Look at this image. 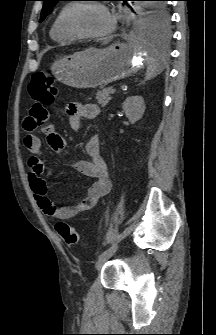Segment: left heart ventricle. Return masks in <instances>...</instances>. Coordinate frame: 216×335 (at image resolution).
<instances>
[{
	"label": "left heart ventricle",
	"instance_id": "1",
	"mask_svg": "<svg viewBox=\"0 0 216 335\" xmlns=\"http://www.w3.org/2000/svg\"><path fill=\"white\" fill-rule=\"evenodd\" d=\"M72 25L81 32L99 33L109 28L110 18L100 7L85 5L73 13Z\"/></svg>",
	"mask_w": 216,
	"mask_h": 335
}]
</instances>
